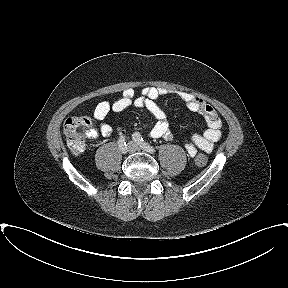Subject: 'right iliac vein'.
I'll list each match as a JSON object with an SVG mask.
<instances>
[{"label":"right iliac vein","instance_id":"right-iliac-vein-1","mask_svg":"<svg viewBox=\"0 0 288 288\" xmlns=\"http://www.w3.org/2000/svg\"><path fill=\"white\" fill-rule=\"evenodd\" d=\"M123 153H133L134 146L132 143H128L127 147L122 151Z\"/></svg>","mask_w":288,"mask_h":288}]
</instances>
